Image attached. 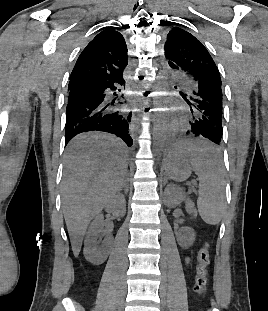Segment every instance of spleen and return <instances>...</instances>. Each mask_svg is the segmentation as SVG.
Masks as SVG:
<instances>
[{
	"label": "spleen",
	"mask_w": 268,
	"mask_h": 311,
	"mask_svg": "<svg viewBox=\"0 0 268 311\" xmlns=\"http://www.w3.org/2000/svg\"><path fill=\"white\" fill-rule=\"evenodd\" d=\"M190 147V163L199 179L198 212L210 225L221 221L225 208L224 170L220 160L218 144H208L207 140H185Z\"/></svg>",
	"instance_id": "3e777b00"
}]
</instances>
